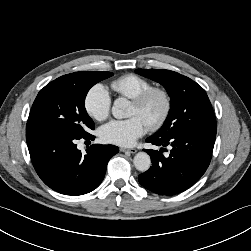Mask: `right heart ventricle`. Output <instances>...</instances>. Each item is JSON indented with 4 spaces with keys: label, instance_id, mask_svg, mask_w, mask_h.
<instances>
[{
    "label": "right heart ventricle",
    "instance_id": "obj_1",
    "mask_svg": "<svg viewBox=\"0 0 251 251\" xmlns=\"http://www.w3.org/2000/svg\"><path fill=\"white\" fill-rule=\"evenodd\" d=\"M110 86L117 95L133 99L151 88L152 83L142 76L126 74L114 79Z\"/></svg>",
    "mask_w": 251,
    "mask_h": 251
}]
</instances>
